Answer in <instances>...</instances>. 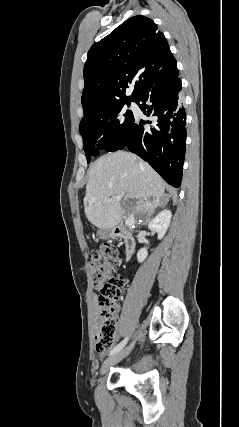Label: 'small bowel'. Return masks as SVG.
<instances>
[{
	"instance_id": "obj_1",
	"label": "small bowel",
	"mask_w": 239,
	"mask_h": 427,
	"mask_svg": "<svg viewBox=\"0 0 239 427\" xmlns=\"http://www.w3.org/2000/svg\"><path fill=\"white\" fill-rule=\"evenodd\" d=\"M100 355H104V353H100Z\"/></svg>"
}]
</instances>
